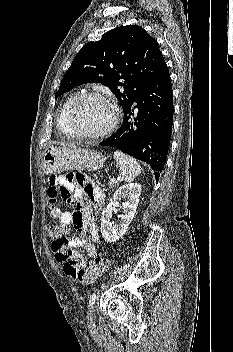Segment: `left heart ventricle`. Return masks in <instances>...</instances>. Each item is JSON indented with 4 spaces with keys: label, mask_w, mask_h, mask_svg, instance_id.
<instances>
[{
    "label": "left heart ventricle",
    "mask_w": 233,
    "mask_h": 352,
    "mask_svg": "<svg viewBox=\"0 0 233 352\" xmlns=\"http://www.w3.org/2000/svg\"><path fill=\"white\" fill-rule=\"evenodd\" d=\"M112 119L110 106L96 98L82 100L74 110L73 125L81 133H95L104 129Z\"/></svg>",
    "instance_id": "obj_1"
}]
</instances>
